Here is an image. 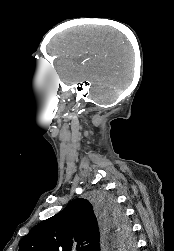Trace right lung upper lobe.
Segmentation results:
<instances>
[{
    "instance_id": "obj_1",
    "label": "right lung upper lobe",
    "mask_w": 174,
    "mask_h": 251,
    "mask_svg": "<svg viewBox=\"0 0 174 251\" xmlns=\"http://www.w3.org/2000/svg\"><path fill=\"white\" fill-rule=\"evenodd\" d=\"M104 233L94 204L78 198L34 226L21 239L19 251H100Z\"/></svg>"
}]
</instances>
